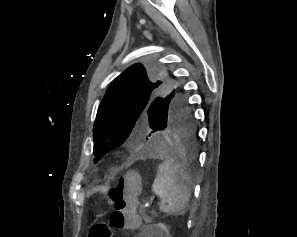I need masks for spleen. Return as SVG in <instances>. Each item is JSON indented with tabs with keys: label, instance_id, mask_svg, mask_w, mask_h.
I'll return each instance as SVG.
<instances>
[{
	"label": "spleen",
	"instance_id": "1",
	"mask_svg": "<svg viewBox=\"0 0 297 237\" xmlns=\"http://www.w3.org/2000/svg\"><path fill=\"white\" fill-rule=\"evenodd\" d=\"M187 178L170 162L159 165L152 190L161 199L159 209L170 215H184L188 206L190 192Z\"/></svg>",
	"mask_w": 297,
	"mask_h": 237
}]
</instances>
